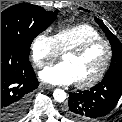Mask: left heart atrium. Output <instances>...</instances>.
I'll use <instances>...</instances> for the list:
<instances>
[{
    "instance_id": "obj_1",
    "label": "left heart atrium",
    "mask_w": 122,
    "mask_h": 122,
    "mask_svg": "<svg viewBox=\"0 0 122 122\" xmlns=\"http://www.w3.org/2000/svg\"><path fill=\"white\" fill-rule=\"evenodd\" d=\"M40 78L54 85H68L75 82L73 71L65 62L46 67L40 72Z\"/></svg>"
}]
</instances>
